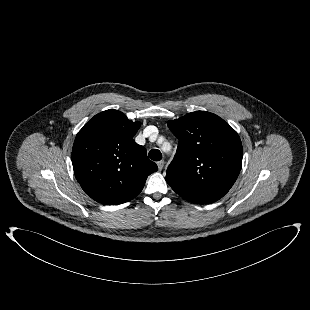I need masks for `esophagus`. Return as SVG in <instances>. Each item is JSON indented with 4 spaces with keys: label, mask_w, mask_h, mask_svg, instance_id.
Listing matches in <instances>:
<instances>
[{
    "label": "esophagus",
    "mask_w": 310,
    "mask_h": 310,
    "mask_svg": "<svg viewBox=\"0 0 310 310\" xmlns=\"http://www.w3.org/2000/svg\"><path fill=\"white\" fill-rule=\"evenodd\" d=\"M157 166H158L159 171H161L163 169V167H164V161L163 160L158 161L157 162Z\"/></svg>",
    "instance_id": "34e87169"
}]
</instances>
